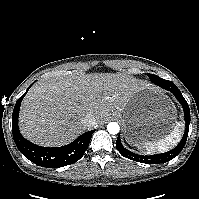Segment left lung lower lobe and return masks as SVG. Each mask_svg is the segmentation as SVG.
I'll list each match as a JSON object with an SVG mask.
<instances>
[{
  "label": "left lung lower lobe",
  "instance_id": "1",
  "mask_svg": "<svg viewBox=\"0 0 199 199\" xmlns=\"http://www.w3.org/2000/svg\"><path fill=\"white\" fill-rule=\"evenodd\" d=\"M158 85L160 87L172 92L174 94V96L178 99L180 104L182 105L184 114H185V122H186V129H185L184 136H183L182 140L180 141V143L178 144V146L176 148L172 149L171 151L163 153V154L150 155V156L138 155V154H135V153L127 150L126 148L123 147V145L120 141V137H118L117 141H116L117 150L121 153L122 156H124L128 159H132L134 161H139L141 163H148V164L165 163V162L172 160L174 157H176L181 152V150L183 149V147L186 143V140L188 137V131H189V123H190L189 106H188L185 98L182 96L180 90L172 82L160 83Z\"/></svg>",
  "mask_w": 199,
  "mask_h": 199
}]
</instances>
